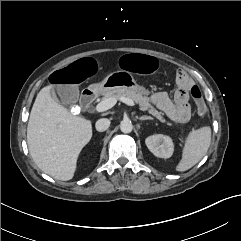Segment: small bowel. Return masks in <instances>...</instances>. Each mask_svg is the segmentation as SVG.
I'll list each match as a JSON object with an SVG mask.
<instances>
[{
    "instance_id": "1",
    "label": "small bowel",
    "mask_w": 241,
    "mask_h": 241,
    "mask_svg": "<svg viewBox=\"0 0 241 241\" xmlns=\"http://www.w3.org/2000/svg\"><path fill=\"white\" fill-rule=\"evenodd\" d=\"M176 85L172 95L164 91L156 92L150 96V102L174 122L184 124L191 117L189 98L192 96V89L198 87L189 74L183 70L176 74Z\"/></svg>"
}]
</instances>
